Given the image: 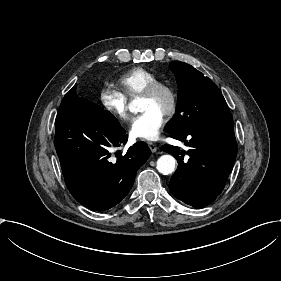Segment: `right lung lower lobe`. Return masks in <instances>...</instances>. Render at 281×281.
Listing matches in <instances>:
<instances>
[{
  "label": "right lung lower lobe",
  "instance_id": "1",
  "mask_svg": "<svg viewBox=\"0 0 281 281\" xmlns=\"http://www.w3.org/2000/svg\"><path fill=\"white\" fill-rule=\"evenodd\" d=\"M76 87L61 102L54 144L72 196L91 210L104 211L129 193L151 151L139 141L125 155L118 151L117 159L110 158L112 148L126 144L128 136L110 112L78 97Z\"/></svg>",
  "mask_w": 281,
  "mask_h": 281
}]
</instances>
